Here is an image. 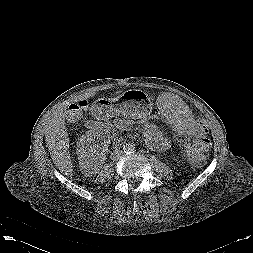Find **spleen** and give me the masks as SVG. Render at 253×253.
<instances>
[{"label": "spleen", "mask_w": 253, "mask_h": 253, "mask_svg": "<svg viewBox=\"0 0 253 253\" xmlns=\"http://www.w3.org/2000/svg\"><path fill=\"white\" fill-rule=\"evenodd\" d=\"M156 113L172 137L181 145V160L192 167L202 165L208 156L207 148L201 142L203 126L185 99L176 93H165L156 102Z\"/></svg>", "instance_id": "3e777b00"}]
</instances>
